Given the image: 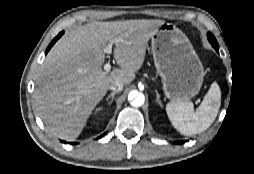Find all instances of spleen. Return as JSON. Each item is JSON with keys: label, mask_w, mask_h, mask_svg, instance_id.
Here are the masks:
<instances>
[{"label": "spleen", "mask_w": 254, "mask_h": 174, "mask_svg": "<svg viewBox=\"0 0 254 174\" xmlns=\"http://www.w3.org/2000/svg\"><path fill=\"white\" fill-rule=\"evenodd\" d=\"M221 105V91L213 82L201 105L194 111L190 101L170 102L166 112L174 128L182 135L192 136L207 130L216 119Z\"/></svg>", "instance_id": "obj_1"}]
</instances>
